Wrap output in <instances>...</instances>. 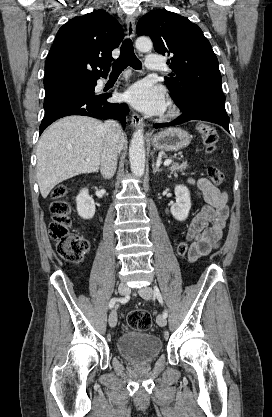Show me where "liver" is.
<instances>
[{
	"instance_id": "obj_1",
	"label": "liver",
	"mask_w": 272,
	"mask_h": 417,
	"mask_svg": "<svg viewBox=\"0 0 272 417\" xmlns=\"http://www.w3.org/2000/svg\"><path fill=\"white\" fill-rule=\"evenodd\" d=\"M102 125L101 121L91 117L69 116L44 131L37 146L36 166L43 198L64 180L98 171L103 149ZM124 143L122 135L120 151Z\"/></svg>"
}]
</instances>
